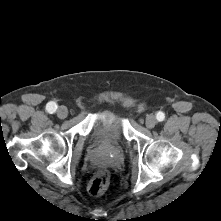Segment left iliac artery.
Returning <instances> with one entry per match:
<instances>
[{
    "label": "left iliac artery",
    "instance_id": "1",
    "mask_svg": "<svg viewBox=\"0 0 221 221\" xmlns=\"http://www.w3.org/2000/svg\"><path fill=\"white\" fill-rule=\"evenodd\" d=\"M156 119L161 122L165 119V114L161 111H159L157 114H156Z\"/></svg>",
    "mask_w": 221,
    "mask_h": 221
}]
</instances>
